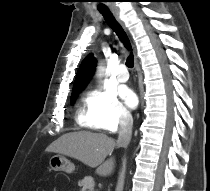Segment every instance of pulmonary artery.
Segmentation results:
<instances>
[{
  "label": "pulmonary artery",
  "mask_w": 210,
  "mask_h": 191,
  "mask_svg": "<svg viewBox=\"0 0 210 191\" xmlns=\"http://www.w3.org/2000/svg\"><path fill=\"white\" fill-rule=\"evenodd\" d=\"M129 74L125 65H120L117 71V80L119 82H127Z\"/></svg>",
  "instance_id": "obj_1"
}]
</instances>
